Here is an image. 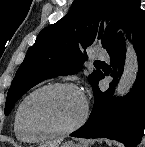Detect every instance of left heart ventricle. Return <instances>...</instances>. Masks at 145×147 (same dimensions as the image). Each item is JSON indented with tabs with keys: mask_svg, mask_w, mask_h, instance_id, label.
<instances>
[{
	"mask_svg": "<svg viewBox=\"0 0 145 147\" xmlns=\"http://www.w3.org/2000/svg\"><path fill=\"white\" fill-rule=\"evenodd\" d=\"M81 96L70 89H56L35 96L27 105L26 114L34 124L53 129L73 125L82 115Z\"/></svg>",
	"mask_w": 145,
	"mask_h": 147,
	"instance_id": "obj_1",
	"label": "left heart ventricle"
}]
</instances>
